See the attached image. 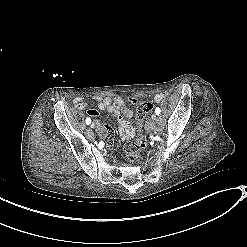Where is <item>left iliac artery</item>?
Returning <instances> with one entry per match:
<instances>
[{"mask_svg":"<svg viewBox=\"0 0 247 247\" xmlns=\"http://www.w3.org/2000/svg\"><path fill=\"white\" fill-rule=\"evenodd\" d=\"M160 112H161L160 108H159V107H157V108L155 109V113H156L157 115H159V114H160Z\"/></svg>","mask_w":247,"mask_h":247,"instance_id":"44dca946","label":"left iliac artery"}]
</instances>
